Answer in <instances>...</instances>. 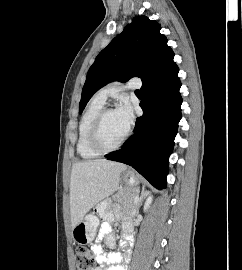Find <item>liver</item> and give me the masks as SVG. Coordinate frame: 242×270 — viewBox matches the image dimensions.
Listing matches in <instances>:
<instances>
[{
  "label": "liver",
  "instance_id": "1",
  "mask_svg": "<svg viewBox=\"0 0 242 270\" xmlns=\"http://www.w3.org/2000/svg\"><path fill=\"white\" fill-rule=\"evenodd\" d=\"M127 166L105 159L73 164L70 180V214L72 227L97 203L113 195Z\"/></svg>",
  "mask_w": 242,
  "mask_h": 270
}]
</instances>
